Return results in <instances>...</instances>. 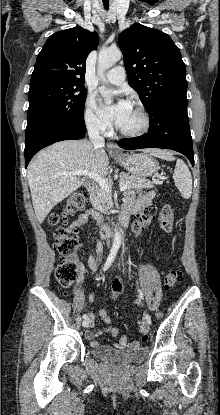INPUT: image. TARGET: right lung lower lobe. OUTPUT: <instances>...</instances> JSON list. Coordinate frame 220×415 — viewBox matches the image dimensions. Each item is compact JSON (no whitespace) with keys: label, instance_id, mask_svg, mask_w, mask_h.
Segmentation results:
<instances>
[{"label":"right lung lower lobe","instance_id":"obj_1","mask_svg":"<svg viewBox=\"0 0 220 415\" xmlns=\"http://www.w3.org/2000/svg\"><path fill=\"white\" fill-rule=\"evenodd\" d=\"M86 133L85 125L61 128L46 127L26 138L25 141V167L32 157L42 148L62 140H78Z\"/></svg>","mask_w":220,"mask_h":415}]
</instances>
